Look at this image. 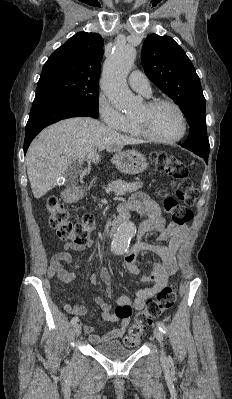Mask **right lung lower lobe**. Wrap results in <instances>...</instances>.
Returning <instances> with one entry per match:
<instances>
[{"mask_svg":"<svg viewBox=\"0 0 232 399\" xmlns=\"http://www.w3.org/2000/svg\"><path fill=\"white\" fill-rule=\"evenodd\" d=\"M81 116L98 118L99 113L56 94L36 92L25 130L24 154H26L32 139L42 129L62 119Z\"/></svg>","mask_w":232,"mask_h":399,"instance_id":"1","label":"right lung lower lobe"}]
</instances>
